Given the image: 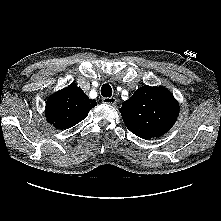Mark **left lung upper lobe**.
Returning <instances> with one entry per match:
<instances>
[{"mask_svg":"<svg viewBox=\"0 0 221 221\" xmlns=\"http://www.w3.org/2000/svg\"><path fill=\"white\" fill-rule=\"evenodd\" d=\"M126 127L143 139L168 132L179 114L178 102L164 87L143 86L120 108Z\"/></svg>","mask_w":221,"mask_h":221,"instance_id":"left-lung-upper-lobe-1","label":"left lung upper lobe"}]
</instances>
